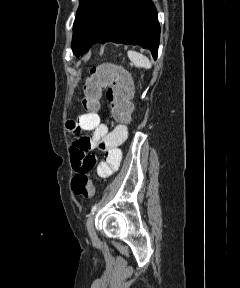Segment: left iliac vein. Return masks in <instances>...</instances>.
Returning <instances> with one entry per match:
<instances>
[{
    "label": "left iliac vein",
    "mask_w": 240,
    "mask_h": 288,
    "mask_svg": "<svg viewBox=\"0 0 240 288\" xmlns=\"http://www.w3.org/2000/svg\"><path fill=\"white\" fill-rule=\"evenodd\" d=\"M94 217L95 214H91L87 220V230L92 240H97V235L94 228Z\"/></svg>",
    "instance_id": "1"
}]
</instances>
